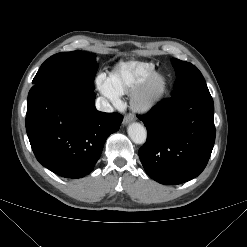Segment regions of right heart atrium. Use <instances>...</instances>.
Returning a JSON list of instances; mask_svg holds the SVG:
<instances>
[{
    "mask_svg": "<svg viewBox=\"0 0 247 247\" xmlns=\"http://www.w3.org/2000/svg\"><path fill=\"white\" fill-rule=\"evenodd\" d=\"M96 83L100 92L114 105H118L120 102L119 95L113 91L109 83L108 77L104 74H100L96 78Z\"/></svg>",
    "mask_w": 247,
    "mask_h": 247,
    "instance_id": "right-heart-atrium-1",
    "label": "right heart atrium"
}]
</instances>
